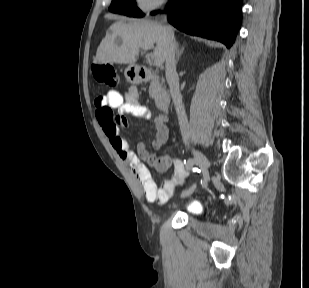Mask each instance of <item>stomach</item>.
Instances as JSON below:
<instances>
[{
    "label": "stomach",
    "instance_id": "obj_1",
    "mask_svg": "<svg viewBox=\"0 0 309 288\" xmlns=\"http://www.w3.org/2000/svg\"><path fill=\"white\" fill-rule=\"evenodd\" d=\"M124 74H125L127 81L132 84H137L141 82V77L139 75V67L135 64H130L125 69Z\"/></svg>",
    "mask_w": 309,
    "mask_h": 288
}]
</instances>
